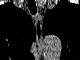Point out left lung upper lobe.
<instances>
[{
	"label": "left lung upper lobe",
	"instance_id": "5c2ea615",
	"mask_svg": "<svg viewBox=\"0 0 80 60\" xmlns=\"http://www.w3.org/2000/svg\"><path fill=\"white\" fill-rule=\"evenodd\" d=\"M74 8L75 7L71 3L62 0L54 9L49 10L45 14L43 20L44 33L55 34L62 40L63 54L68 51L72 52L78 41V37L75 36L72 26L75 12Z\"/></svg>",
	"mask_w": 80,
	"mask_h": 60
}]
</instances>
